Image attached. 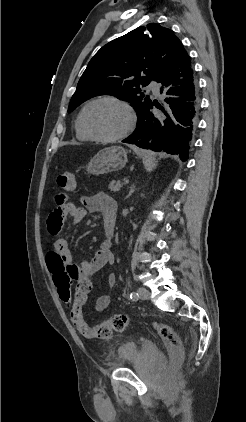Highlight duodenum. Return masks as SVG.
<instances>
[{
    "label": "duodenum",
    "instance_id": "1",
    "mask_svg": "<svg viewBox=\"0 0 246 422\" xmlns=\"http://www.w3.org/2000/svg\"><path fill=\"white\" fill-rule=\"evenodd\" d=\"M108 235H109V237H112V236H113V231H112V229H109V231H108Z\"/></svg>",
    "mask_w": 246,
    "mask_h": 422
}]
</instances>
